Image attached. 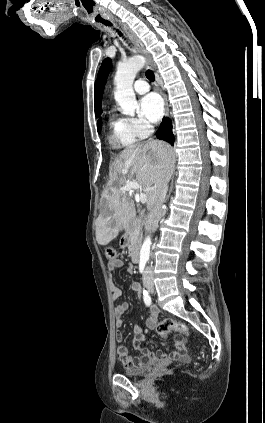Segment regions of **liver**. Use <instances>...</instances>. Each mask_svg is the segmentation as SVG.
<instances>
[{
	"label": "liver",
	"mask_w": 265,
	"mask_h": 423,
	"mask_svg": "<svg viewBox=\"0 0 265 423\" xmlns=\"http://www.w3.org/2000/svg\"><path fill=\"white\" fill-rule=\"evenodd\" d=\"M173 170L174 151L163 141L125 148L109 167L110 180L102 194V202L112 214L101 216L96 221L97 243L107 245L126 226L132 201L130 193L122 190L121 186L129 181L139 183L147 197V209L151 210Z\"/></svg>",
	"instance_id": "obj_1"
}]
</instances>
